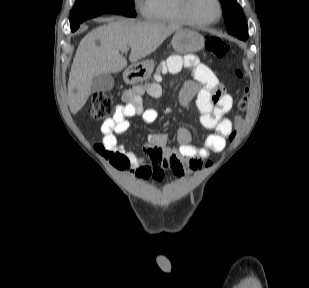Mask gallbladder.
Masks as SVG:
<instances>
[{"label": "gallbladder", "instance_id": "bac80fb5", "mask_svg": "<svg viewBox=\"0 0 309 288\" xmlns=\"http://www.w3.org/2000/svg\"><path fill=\"white\" fill-rule=\"evenodd\" d=\"M114 86V78L111 74L102 73L95 76L91 83V92H108Z\"/></svg>", "mask_w": 309, "mask_h": 288}]
</instances>
